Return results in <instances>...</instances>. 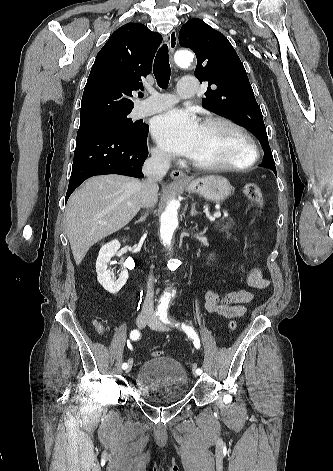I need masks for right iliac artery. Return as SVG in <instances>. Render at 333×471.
<instances>
[{
	"instance_id": "1",
	"label": "right iliac artery",
	"mask_w": 333,
	"mask_h": 471,
	"mask_svg": "<svg viewBox=\"0 0 333 471\" xmlns=\"http://www.w3.org/2000/svg\"><path fill=\"white\" fill-rule=\"evenodd\" d=\"M130 338H131L132 340H138V339L140 338V332H139V330H137V329L132 330L131 333H130ZM127 366H128L127 363H123V364H122V368H123V369H126Z\"/></svg>"
}]
</instances>
